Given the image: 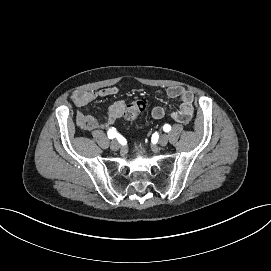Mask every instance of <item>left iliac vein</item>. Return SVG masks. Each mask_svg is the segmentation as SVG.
<instances>
[{"mask_svg": "<svg viewBox=\"0 0 271 271\" xmlns=\"http://www.w3.org/2000/svg\"><path fill=\"white\" fill-rule=\"evenodd\" d=\"M167 143H168V137H167V135L160 136V138H159V144L161 146H166Z\"/></svg>", "mask_w": 271, "mask_h": 271, "instance_id": "left-iliac-vein-1", "label": "left iliac vein"}]
</instances>
